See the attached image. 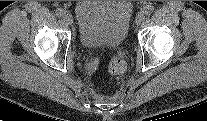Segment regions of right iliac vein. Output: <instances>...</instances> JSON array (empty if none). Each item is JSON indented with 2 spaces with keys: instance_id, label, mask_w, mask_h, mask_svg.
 I'll return each mask as SVG.
<instances>
[{
  "instance_id": "right-iliac-vein-1",
  "label": "right iliac vein",
  "mask_w": 207,
  "mask_h": 121,
  "mask_svg": "<svg viewBox=\"0 0 207 121\" xmlns=\"http://www.w3.org/2000/svg\"><path fill=\"white\" fill-rule=\"evenodd\" d=\"M63 19L66 23L68 24H72L73 22V18H72V15L69 13V12H65L64 15H63Z\"/></svg>"
}]
</instances>
